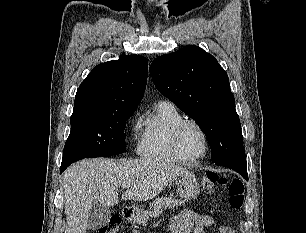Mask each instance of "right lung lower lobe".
Listing matches in <instances>:
<instances>
[{
	"mask_svg": "<svg viewBox=\"0 0 306 233\" xmlns=\"http://www.w3.org/2000/svg\"><path fill=\"white\" fill-rule=\"evenodd\" d=\"M69 165H63L61 164V171L60 172H63Z\"/></svg>",
	"mask_w": 306,
	"mask_h": 233,
	"instance_id": "obj_1",
	"label": "right lung lower lobe"
}]
</instances>
